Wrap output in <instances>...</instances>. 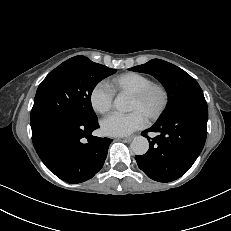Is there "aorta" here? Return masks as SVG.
Segmentation results:
<instances>
[{
    "mask_svg": "<svg viewBox=\"0 0 231 231\" xmlns=\"http://www.w3.org/2000/svg\"><path fill=\"white\" fill-rule=\"evenodd\" d=\"M114 107L120 112L129 111V101L122 95H118L114 100ZM149 149V142L143 136H137L131 143V150L136 155H144Z\"/></svg>",
    "mask_w": 231,
    "mask_h": 231,
    "instance_id": "obj_1",
    "label": "aorta"
}]
</instances>
